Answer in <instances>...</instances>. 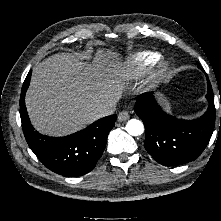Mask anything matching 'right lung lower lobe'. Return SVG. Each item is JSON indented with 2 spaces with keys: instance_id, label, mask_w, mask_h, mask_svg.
Here are the masks:
<instances>
[{
  "instance_id": "98d812e1",
  "label": "right lung lower lobe",
  "mask_w": 221,
  "mask_h": 221,
  "mask_svg": "<svg viewBox=\"0 0 221 221\" xmlns=\"http://www.w3.org/2000/svg\"><path fill=\"white\" fill-rule=\"evenodd\" d=\"M31 71L27 75L20 96V116L26 141L50 170L63 176H79L90 172L101 157L107 137L114 127L117 116L97 120L90 126L66 137H47L34 130L25 107V94Z\"/></svg>"
}]
</instances>
